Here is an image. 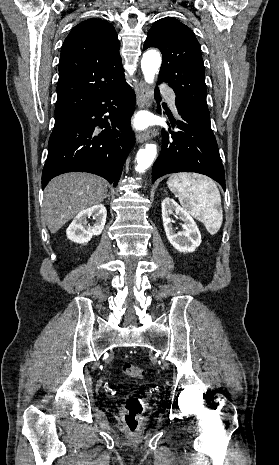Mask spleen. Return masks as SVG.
<instances>
[{
	"label": "spleen",
	"instance_id": "obj_1",
	"mask_svg": "<svg viewBox=\"0 0 279 465\" xmlns=\"http://www.w3.org/2000/svg\"><path fill=\"white\" fill-rule=\"evenodd\" d=\"M168 188L193 217L203 222L210 234H216L223 221L221 196L216 184L207 177L178 173L167 181Z\"/></svg>",
	"mask_w": 279,
	"mask_h": 465
}]
</instances>
